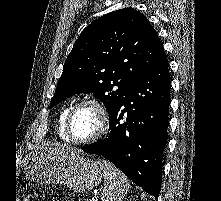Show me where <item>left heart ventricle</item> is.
I'll use <instances>...</instances> for the list:
<instances>
[{
  "label": "left heart ventricle",
  "mask_w": 221,
  "mask_h": 201,
  "mask_svg": "<svg viewBox=\"0 0 221 201\" xmlns=\"http://www.w3.org/2000/svg\"><path fill=\"white\" fill-rule=\"evenodd\" d=\"M99 128V117L91 106L79 108L71 122V133L75 139L83 140L93 136Z\"/></svg>",
  "instance_id": "obj_1"
}]
</instances>
